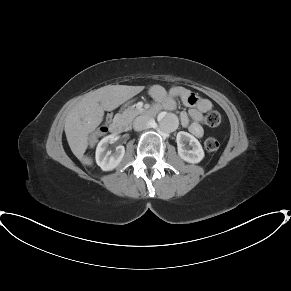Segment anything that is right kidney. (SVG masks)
<instances>
[{
	"mask_svg": "<svg viewBox=\"0 0 291 291\" xmlns=\"http://www.w3.org/2000/svg\"><path fill=\"white\" fill-rule=\"evenodd\" d=\"M116 140V136L111 134L98 143L96 148V163L103 171L113 170L124 157L125 148L124 146L116 147L115 152H111L108 149L109 144H112Z\"/></svg>",
	"mask_w": 291,
	"mask_h": 291,
	"instance_id": "ca27d5eb",
	"label": "right kidney"
}]
</instances>
